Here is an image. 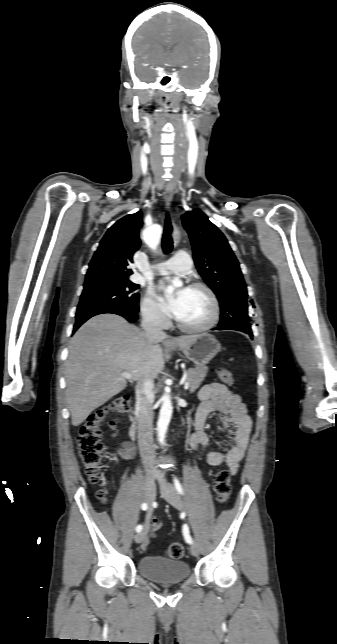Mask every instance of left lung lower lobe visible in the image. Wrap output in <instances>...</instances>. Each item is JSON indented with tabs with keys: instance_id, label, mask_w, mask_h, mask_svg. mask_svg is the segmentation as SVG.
Instances as JSON below:
<instances>
[{
	"instance_id": "obj_1",
	"label": "left lung lower lobe",
	"mask_w": 337,
	"mask_h": 644,
	"mask_svg": "<svg viewBox=\"0 0 337 644\" xmlns=\"http://www.w3.org/2000/svg\"><path fill=\"white\" fill-rule=\"evenodd\" d=\"M216 329L217 330H226L225 328H219V327H217Z\"/></svg>"
}]
</instances>
